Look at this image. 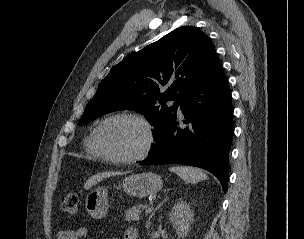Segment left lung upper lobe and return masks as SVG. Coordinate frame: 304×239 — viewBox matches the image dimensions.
<instances>
[{
  "instance_id": "left-lung-upper-lobe-1",
  "label": "left lung upper lobe",
  "mask_w": 304,
  "mask_h": 239,
  "mask_svg": "<svg viewBox=\"0 0 304 239\" xmlns=\"http://www.w3.org/2000/svg\"><path fill=\"white\" fill-rule=\"evenodd\" d=\"M215 58L204 33L192 26L177 28L113 66L78 125L112 111L136 110L154 125L157 139ZM170 100L175 101L171 107L165 104Z\"/></svg>"
}]
</instances>
